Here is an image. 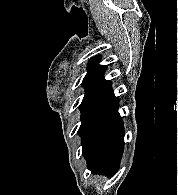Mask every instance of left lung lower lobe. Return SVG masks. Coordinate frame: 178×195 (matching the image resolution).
Returning <instances> with one entry per match:
<instances>
[{
  "label": "left lung lower lobe",
  "mask_w": 178,
  "mask_h": 195,
  "mask_svg": "<svg viewBox=\"0 0 178 195\" xmlns=\"http://www.w3.org/2000/svg\"><path fill=\"white\" fill-rule=\"evenodd\" d=\"M116 98L107 108L82 127V155L93 174L113 176L119 168L124 148L123 122Z\"/></svg>",
  "instance_id": "1"
}]
</instances>
